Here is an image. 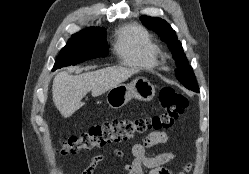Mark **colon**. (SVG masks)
<instances>
[{
    "label": "colon",
    "mask_w": 249,
    "mask_h": 174,
    "mask_svg": "<svg viewBox=\"0 0 249 174\" xmlns=\"http://www.w3.org/2000/svg\"><path fill=\"white\" fill-rule=\"evenodd\" d=\"M163 111L160 114L137 118H114L92 126L79 135L65 140L59 149L63 155L120 143L144 134L161 133L174 126L189 105V98L172 87L159 94Z\"/></svg>",
    "instance_id": "5ec220e1"
}]
</instances>
